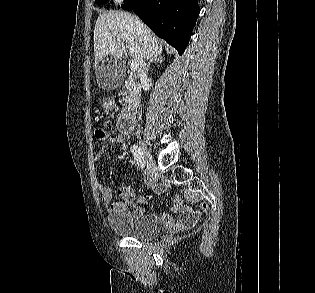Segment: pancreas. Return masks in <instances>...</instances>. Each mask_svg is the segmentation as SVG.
<instances>
[{"instance_id":"obj_1","label":"pancreas","mask_w":315,"mask_h":293,"mask_svg":"<svg viewBox=\"0 0 315 293\" xmlns=\"http://www.w3.org/2000/svg\"><path fill=\"white\" fill-rule=\"evenodd\" d=\"M139 93V85L133 78H130L125 82L124 89L121 91V95L124 97L125 102L122 114L129 113L135 107L138 102Z\"/></svg>"}]
</instances>
